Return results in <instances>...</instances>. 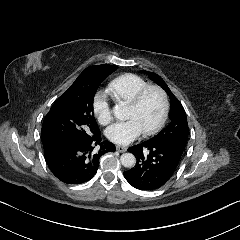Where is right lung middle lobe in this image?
I'll return each instance as SVG.
<instances>
[{"label": "right lung middle lobe", "instance_id": "1", "mask_svg": "<svg viewBox=\"0 0 240 240\" xmlns=\"http://www.w3.org/2000/svg\"><path fill=\"white\" fill-rule=\"evenodd\" d=\"M113 69L86 68L53 104L41 129L42 143L56 139H86L99 135L93 113L94 95Z\"/></svg>", "mask_w": 240, "mask_h": 240}]
</instances>
